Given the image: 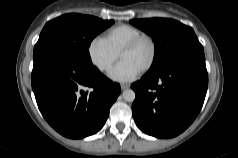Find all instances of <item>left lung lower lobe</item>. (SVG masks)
Segmentation results:
<instances>
[{
  "label": "left lung lower lobe",
  "instance_id": "1",
  "mask_svg": "<svg viewBox=\"0 0 238 158\" xmlns=\"http://www.w3.org/2000/svg\"><path fill=\"white\" fill-rule=\"evenodd\" d=\"M207 87L204 51L182 55L131 85L136 94L134 121L154 137L177 136L198 115Z\"/></svg>",
  "mask_w": 238,
  "mask_h": 158
}]
</instances>
